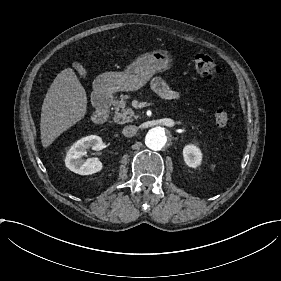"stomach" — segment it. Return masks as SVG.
<instances>
[{
    "label": "stomach",
    "mask_w": 281,
    "mask_h": 281,
    "mask_svg": "<svg viewBox=\"0 0 281 281\" xmlns=\"http://www.w3.org/2000/svg\"><path fill=\"white\" fill-rule=\"evenodd\" d=\"M172 55L166 50L145 53L133 61L123 72H106L97 78L103 91H136L157 72L170 68Z\"/></svg>",
    "instance_id": "1"
}]
</instances>
